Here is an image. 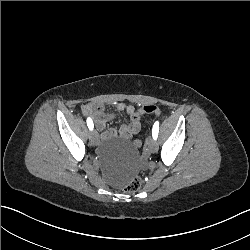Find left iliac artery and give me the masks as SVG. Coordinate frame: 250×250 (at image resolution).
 I'll return each instance as SVG.
<instances>
[{
    "label": "left iliac artery",
    "instance_id": "left-iliac-artery-1",
    "mask_svg": "<svg viewBox=\"0 0 250 250\" xmlns=\"http://www.w3.org/2000/svg\"><path fill=\"white\" fill-rule=\"evenodd\" d=\"M158 132H159V122L156 121L153 125V129H152V136L153 139L156 140L158 137Z\"/></svg>",
    "mask_w": 250,
    "mask_h": 250
}]
</instances>
